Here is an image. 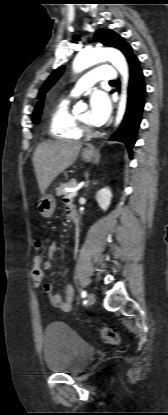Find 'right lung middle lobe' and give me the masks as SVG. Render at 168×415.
I'll list each match as a JSON object with an SVG mask.
<instances>
[{
	"label": "right lung middle lobe",
	"mask_w": 168,
	"mask_h": 415,
	"mask_svg": "<svg viewBox=\"0 0 168 415\" xmlns=\"http://www.w3.org/2000/svg\"><path fill=\"white\" fill-rule=\"evenodd\" d=\"M40 116H41V111H39L37 113H34V116H33V123L34 124H38L39 123Z\"/></svg>",
	"instance_id": "right-lung-middle-lobe-1"
}]
</instances>
